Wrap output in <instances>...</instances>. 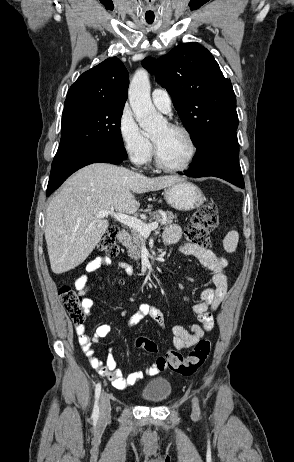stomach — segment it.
I'll return each mask as SVG.
<instances>
[{
	"label": "stomach",
	"instance_id": "obj_1",
	"mask_svg": "<svg viewBox=\"0 0 294 462\" xmlns=\"http://www.w3.org/2000/svg\"><path fill=\"white\" fill-rule=\"evenodd\" d=\"M164 198L172 208L181 211L196 209L205 201L200 188L186 180L168 186L164 191Z\"/></svg>",
	"mask_w": 294,
	"mask_h": 462
}]
</instances>
